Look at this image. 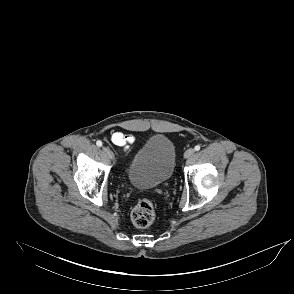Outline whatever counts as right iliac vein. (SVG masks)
Listing matches in <instances>:
<instances>
[{
    "mask_svg": "<svg viewBox=\"0 0 294 294\" xmlns=\"http://www.w3.org/2000/svg\"><path fill=\"white\" fill-rule=\"evenodd\" d=\"M104 152L109 156V158L114 159V153L107 147H103Z\"/></svg>",
    "mask_w": 294,
    "mask_h": 294,
    "instance_id": "63e3f726",
    "label": "right iliac vein"
}]
</instances>
